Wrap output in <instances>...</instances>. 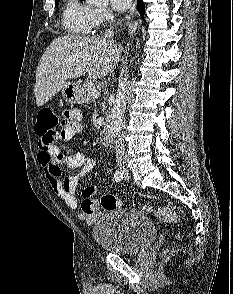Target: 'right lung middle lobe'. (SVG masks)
Segmentation results:
<instances>
[{
    "label": "right lung middle lobe",
    "mask_w": 233,
    "mask_h": 294,
    "mask_svg": "<svg viewBox=\"0 0 233 294\" xmlns=\"http://www.w3.org/2000/svg\"><path fill=\"white\" fill-rule=\"evenodd\" d=\"M59 4V0H55V6L57 7Z\"/></svg>",
    "instance_id": "obj_1"
}]
</instances>
